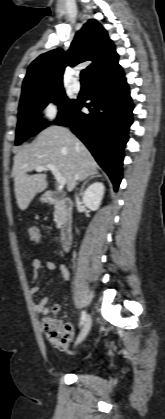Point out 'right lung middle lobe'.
Returning a JSON list of instances; mask_svg holds the SVG:
<instances>
[{"mask_svg": "<svg viewBox=\"0 0 165 419\" xmlns=\"http://www.w3.org/2000/svg\"><path fill=\"white\" fill-rule=\"evenodd\" d=\"M50 102H54L59 106L58 118H60L73 110L77 100L68 99L62 88L37 94L21 101L19 104L15 145L21 144L48 126V123L40 118L39 115L41 110Z\"/></svg>", "mask_w": 165, "mask_h": 419, "instance_id": "obj_1", "label": "right lung middle lobe"}]
</instances>
